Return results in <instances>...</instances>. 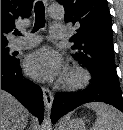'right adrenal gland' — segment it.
Masks as SVG:
<instances>
[{
	"label": "right adrenal gland",
	"mask_w": 123,
	"mask_h": 130,
	"mask_svg": "<svg viewBox=\"0 0 123 130\" xmlns=\"http://www.w3.org/2000/svg\"><path fill=\"white\" fill-rule=\"evenodd\" d=\"M25 127H26V126H24V127L22 128V130H24Z\"/></svg>",
	"instance_id": "2a0ac1e0"
}]
</instances>
